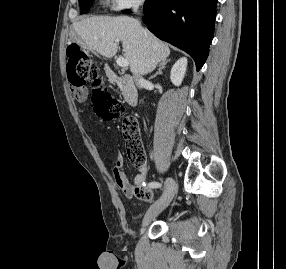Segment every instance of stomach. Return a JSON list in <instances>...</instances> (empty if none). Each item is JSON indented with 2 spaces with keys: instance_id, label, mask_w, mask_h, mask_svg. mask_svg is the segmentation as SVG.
Masks as SVG:
<instances>
[{
  "instance_id": "0dacf381",
  "label": "stomach",
  "mask_w": 286,
  "mask_h": 269,
  "mask_svg": "<svg viewBox=\"0 0 286 269\" xmlns=\"http://www.w3.org/2000/svg\"><path fill=\"white\" fill-rule=\"evenodd\" d=\"M71 40L78 43L79 45H84L83 41L79 37L71 36Z\"/></svg>"
}]
</instances>
